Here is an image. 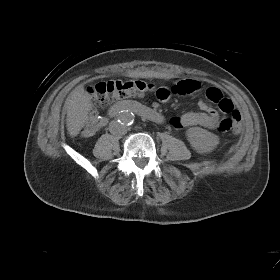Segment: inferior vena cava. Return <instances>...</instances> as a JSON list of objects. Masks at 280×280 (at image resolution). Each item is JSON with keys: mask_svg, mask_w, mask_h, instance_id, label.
<instances>
[{"mask_svg": "<svg viewBox=\"0 0 280 280\" xmlns=\"http://www.w3.org/2000/svg\"><path fill=\"white\" fill-rule=\"evenodd\" d=\"M109 130L112 134L120 136L127 132V129L125 126L121 125L117 121H112L109 125Z\"/></svg>", "mask_w": 280, "mask_h": 280, "instance_id": "602c4592", "label": "inferior vena cava"}]
</instances>
